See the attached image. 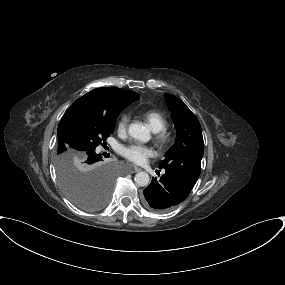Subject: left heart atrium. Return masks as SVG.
<instances>
[{
    "label": "left heart atrium",
    "instance_id": "1",
    "mask_svg": "<svg viewBox=\"0 0 285 285\" xmlns=\"http://www.w3.org/2000/svg\"><path fill=\"white\" fill-rule=\"evenodd\" d=\"M123 156L136 165L144 164L154 152L150 147L142 144H131L122 149Z\"/></svg>",
    "mask_w": 285,
    "mask_h": 285
}]
</instances>
